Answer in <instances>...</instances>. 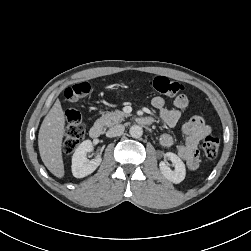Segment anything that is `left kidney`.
Instances as JSON below:
<instances>
[{
  "label": "left kidney",
  "mask_w": 251,
  "mask_h": 251,
  "mask_svg": "<svg viewBox=\"0 0 251 251\" xmlns=\"http://www.w3.org/2000/svg\"><path fill=\"white\" fill-rule=\"evenodd\" d=\"M165 157L169 158L173 163L175 169L171 170L166 161L159 163L161 174L169 181L178 184L182 182L186 175V168L183 161L174 153L167 152Z\"/></svg>",
  "instance_id": "1"
}]
</instances>
